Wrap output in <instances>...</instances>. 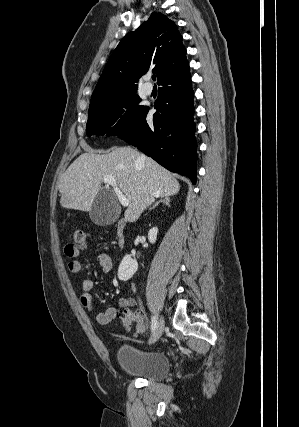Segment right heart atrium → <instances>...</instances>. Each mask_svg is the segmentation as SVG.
Returning <instances> with one entry per match:
<instances>
[{"label":"right heart atrium","instance_id":"1","mask_svg":"<svg viewBox=\"0 0 299 427\" xmlns=\"http://www.w3.org/2000/svg\"><path fill=\"white\" fill-rule=\"evenodd\" d=\"M126 114H127L126 107L120 108L118 112V120H122L126 116Z\"/></svg>","mask_w":299,"mask_h":427}]
</instances>
